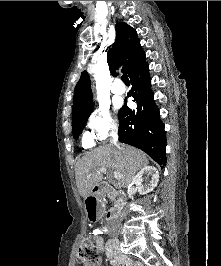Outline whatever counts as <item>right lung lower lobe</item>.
<instances>
[{
    "label": "right lung lower lobe",
    "mask_w": 221,
    "mask_h": 266,
    "mask_svg": "<svg viewBox=\"0 0 221 266\" xmlns=\"http://www.w3.org/2000/svg\"><path fill=\"white\" fill-rule=\"evenodd\" d=\"M129 78L132 89L128 97L134 98L137 108H128L125 100L118 116L119 141L143 150L163 168L166 165V136L159 109L149 89L148 64L143 62L137 66L129 74Z\"/></svg>",
    "instance_id": "98d812e1"
}]
</instances>
